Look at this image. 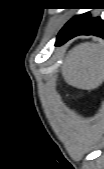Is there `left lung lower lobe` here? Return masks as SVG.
<instances>
[{
    "mask_svg": "<svg viewBox=\"0 0 104 169\" xmlns=\"http://www.w3.org/2000/svg\"><path fill=\"white\" fill-rule=\"evenodd\" d=\"M78 35H95L104 38V21L90 18L89 12L73 17L60 30L56 45H61Z\"/></svg>",
    "mask_w": 104,
    "mask_h": 169,
    "instance_id": "obj_1",
    "label": "left lung lower lobe"
}]
</instances>
